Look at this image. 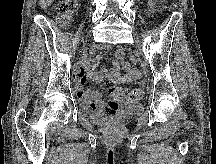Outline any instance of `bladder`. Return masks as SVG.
<instances>
[{
  "mask_svg": "<svg viewBox=\"0 0 216 164\" xmlns=\"http://www.w3.org/2000/svg\"><path fill=\"white\" fill-rule=\"evenodd\" d=\"M136 112H140V109L135 106H125L115 111L116 115L122 119Z\"/></svg>",
  "mask_w": 216,
  "mask_h": 164,
  "instance_id": "bladder-1",
  "label": "bladder"
}]
</instances>
